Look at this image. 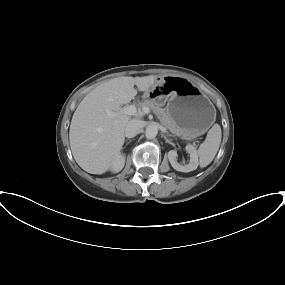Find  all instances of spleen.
<instances>
[{"label": "spleen", "mask_w": 285, "mask_h": 285, "mask_svg": "<svg viewBox=\"0 0 285 285\" xmlns=\"http://www.w3.org/2000/svg\"><path fill=\"white\" fill-rule=\"evenodd\" d=\"M222 132L219 124H214L208 131L205 141L198 149L199 165L204 168L215 158L221 143Z\"/></svg>", "instance_id": "1"}]
</instances>
